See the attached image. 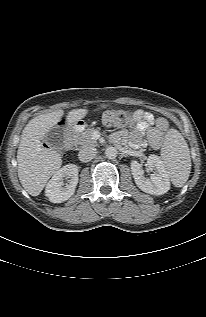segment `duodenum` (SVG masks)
<instances>
[{
  "instance_id": "obj_1",
  "label": "duodenum",
  "mask_w": 206,
  "mask_h": 317,
  "mask_svg": "<svg viewBox=\"0 0 206 317\" xmlns=\"http://www.w3.org/2000/svg\"><path fill=\"white\" fill-rule=\"evenodd\" d=\"M80 128H81V124L78 121H75V122H73L72 125H70L69 129H67L66 132H65V135H66L65 142H66V144H68V145L73 144V142H74V138L73 137L75 135V132L80 130Z\"/></svg>"
}]
</instances>
